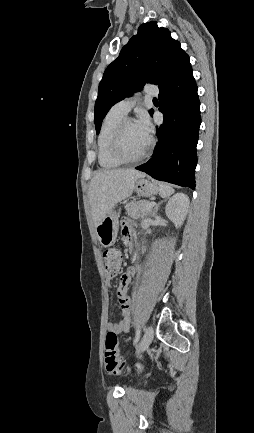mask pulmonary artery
I'll return each instance as SVG.
<instances>
[{"label": "pulmonary artery", "instance_id": "e3ab8cb5", "mask_svg": "<svg viewBox=\"0 0 254 433\" xmlns=\"http://www.w3.org/2000/svg\"><path fill=\"white\" fill-rule=\"evenodd\" d=\"M144 92L146 95H149V96L158 95V89L153 85H146ZM134 104H135V98L134 97H128V98H125V99L117 102L112 107L111 110L126 115L130 111V109L134 106Z\"/></svg>", "mask_w": 254, "mask_h": 433}]
</instances>
